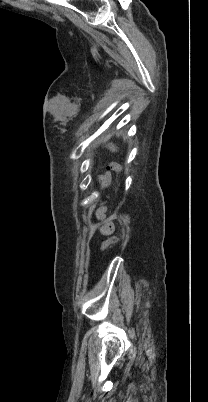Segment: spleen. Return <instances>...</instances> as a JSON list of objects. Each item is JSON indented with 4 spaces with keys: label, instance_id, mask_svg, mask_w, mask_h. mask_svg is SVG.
<instances>
[{
    "label": "spleen",
    "instance_id": "3e777b00",
    "mask_svg": "<svg viewBox=\"0 0 208 402\" xmlns=\"http://www.w3.org/2000/svg\"><path fill=\"white\" fill-rule=\"evenodd\" d=\"M108 150H111V152H117L114 144H108Z\"/></svg>",
    "mask_w": 208,
    "mask_h": 402
}]
</instances>
